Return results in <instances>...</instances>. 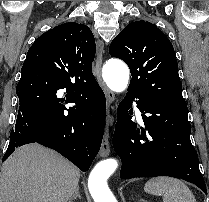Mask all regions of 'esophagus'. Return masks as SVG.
<instances>
[{"label":"esophagus","instance_id":"esophagus-1","mask_svg":"<svg viewBox=\"0 0 209 202\" xmlns=\"http://www.w3.org/2000/svg\"><path fill=\"white\" fill-rule=\"evenodd\" d=\"M103 53H104L103 43H102V41H98L96 44L95 74H96L99 84L101 85V87L105 93L108 108H110L114 103L115 95L112 91H110L106 87L104 81L102 80L101 69H102ZM110 122H111V117H110V114L108 113L107 122H106V130H105L104 137H103L102 144H101V148L99 151V155L101 157H107L110 154V143H109Z\"/></svg>","mask_w":209,"mask_h":202}]
</instances>
